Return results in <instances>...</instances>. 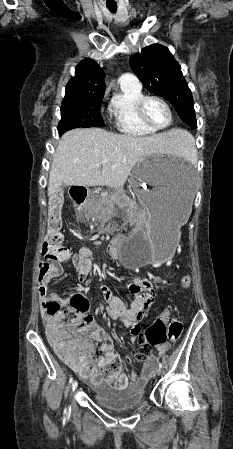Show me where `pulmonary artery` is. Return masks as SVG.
Wrapping results in <instances>:
<instances>
[{
    "mask_svg": "<svg viewBox=\"0 0 233 449\" xmlns=\"http://www.w3.org/2000/svg\"><path fill=\"white\" fill-rule=\"evenodd\" d=\"M119 83L125 84V85H131V86H135V87H141L140 81L132 73H123L119 77Z\"/></svg>",
    "mask_w": 233,
    "mask_h": 449,
    "instance_id": "e3ab8cb5",
    "label": "pulmonary artery"
}]
</instances>
